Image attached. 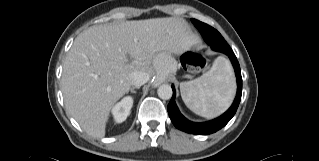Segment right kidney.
<instances>
[{
    "instance_id": "1",
    "label": "right kidney",
    "mask_w": 319,
    "mask_h": 161,
    "mask_svg": "<svg viewBox=\"0 0 319 161\" xmlns=\"http://www.w3.org/2000/svg\"><path fill=\"white\" fill-rule=\"evenodd\" d=\"M132 106V97H124L120 102H118L112 109V114L115 121L117 123H122L125 121L127 116L130 114Z\"/></svg>"
}]
</instances>
